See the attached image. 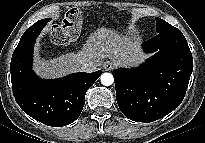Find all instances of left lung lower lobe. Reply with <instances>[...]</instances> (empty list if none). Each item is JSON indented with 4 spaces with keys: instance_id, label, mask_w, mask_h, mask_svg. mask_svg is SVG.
<instances>
[{
    "instance_id": "1",
    "label": "left lung lower lobe",
    "mask_w": 205,
    "mask_h": 143,
    "mask_svg": "<svg viewBox=\"0 0 205 143\" xmlns=\"http://www.w3.org/2000/svg\"><path fill=\"white\" fill-rule=\"evenodd\" d=\"M143 48L156 53L140 67L115 69L113 75L121 112L133 121L147 123L180 105L193 70V58L179 29L158 33L143 43Z\"/></svg>"
}]
</instances>
